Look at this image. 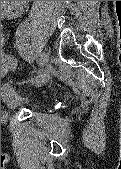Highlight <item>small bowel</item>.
I'll use <instances>...</instances> for the list:
<instances>
[{
  "instance_id": "1",
  "label": "small bowel",
  "mask_w": 121,
  "mask_h": 169,
  "mask_svg": "<svg viewBox=\"0 0 121 169\" xmlns=\"http://www.w3.org/2000/svg\"><path fill=\"white\" fill-rule=\"evenodd\" d=\"M28 1H4L2 18H15L20 15Z\"/></svg>"
}]
</instances>
